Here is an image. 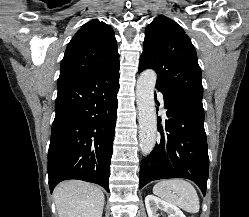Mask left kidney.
Wrapping results in <instances>:
<instances>
[{
	"instance_id": "5707ae66",
	"label": "left kidney",
	"mask_w": 249,
	"mask_h": 217,
	"mask_svg": "<svg viewBox=\"0 0 249 217\" xmlns=\"http://www.w3.org/2000/svg\"><path fill=\"white\" fill-rule=\"evenodd\" d=\"M145 206L148 217H158V210L165 211L168 214V217H186L177 206L166 202L152 194L146 196Z\"/></svg>"
}]
</instances>
